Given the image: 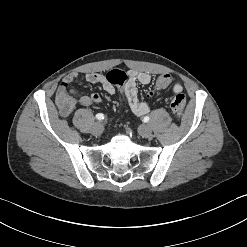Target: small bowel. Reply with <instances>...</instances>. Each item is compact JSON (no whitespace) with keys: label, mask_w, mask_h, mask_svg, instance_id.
<instances>
[{"label":"small bowel","mask_w":247,"mask_h":247,"mask_svg":"<svg viewBox=\"0 0 247 247\" xmlns=\"http://www.w3.org/2000/svg\"><path fill=\"white\" fill-rule=\"evenodd\" d=\"M86 81L92 84H101L103 89L108 94H114L116 92L115 85L111 84L105 75L102 73L91 72L86 74ZM77 79L76 73L67 75L61 83L58 94L62 92H68L72 97L73 103L69 110L62 112L64 115H68L76 106L80 104L82 106L97 105L101 102V97L97 93L90 95L80 94L74 89L70 88V84ZM151 82V75L147 72L130 71L128 74V81L125 85L127 101L129 102V108L137 115L142 116L149 112V105L146 102L139 101L137 97V85H147ZM173 93L176 95L182 92V86L179 82H176L172 88Z\"/></svg>","instance_id":"1"}]
</instances>
